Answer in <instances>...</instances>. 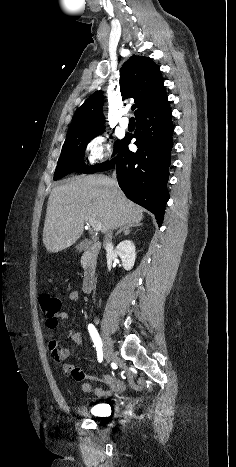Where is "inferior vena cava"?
Masks as SVG:
<instances>
[{
	"label": "inferior vena cava",
	"instance_id": "obj_1",
	"mask_svg": "<svg viewBox=\"0 0 236 467\" xmlns=\"http://www.w3.org/2000/svg\"><path fill=\"white\" fill-rule=\"evenodd\" d=\"M115 176H116V174H115V172H114V173H113V179H112V181H113L114 185H117ZM111 240H112V231L110 230V231L107 232V234H106V236H105L103 245H104V246L111 245Z\"/></svg>",
	"mask_w": 236,
	"mask_h": 467
}]
</instances>
